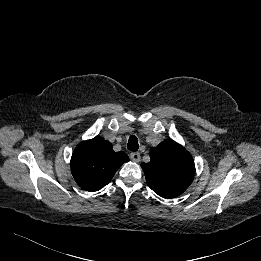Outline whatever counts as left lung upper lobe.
I'll return each instance as SVG.
<instances>
[{
  "instance_id": "5c2ea615",
  "label": "left lung upper lobe",
  "mask_w": 261,
  "mask_h": 261,
  "mask_svg": "<svg viewBox=\"0 0 261 261\" xmlns=\"http://www.w3.org/2000/svg\"><path fill=\"white\" fill-rule=\"evenodd\" d=\"M150 162L142 163L148 186L169 199L181 195L191 184L195 165L191 154L173 140L161 142L150 151Z\"/></svg>"
}]
</instances>
